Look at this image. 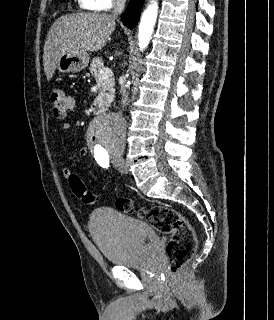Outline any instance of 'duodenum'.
Here are the masks:
<instances>
[{"label":"duodenum","mask_w":274,"mask_h":320,"mask_svg":"<svg viewBox=\"0 0 274 320\" xmlns=\"http://www.w3.org/2000/svg\"><path fill=\"white\" fill-rule=\"evenodd\" d=\"M93 108L95 109V111L99 114H103L105 112V107L103 105V103L96 99L93 103Z\"/></svg>","instance_id":"1"}]
</instances>
